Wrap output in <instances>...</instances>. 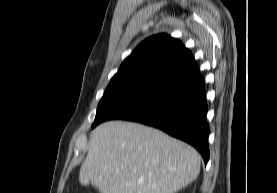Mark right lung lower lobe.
I'll list each match as a JSON object with an SVG mask.
<instances>
[{
	"mask_svg": "<svg viewBox=\"0 0 277 193\" xmlns=\"http://www.w3.org/2000/svg\"><path fill=\"white\" fill-rule=\"evenodd\" d=\"M205 81L200 71L165 85L120 111L111 119L140 122L159 128L193 145L209 160Z\"/></svg>",
	"mask_w": 277,
	"mask_h": 193,
	"instance_id": "1",
	"label": "right lung lower lobe"
}]
</instances>
